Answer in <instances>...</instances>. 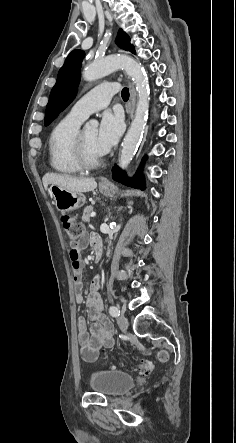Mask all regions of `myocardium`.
<instances>
[{"instance_id":"obj_1","label":"myocardium","mask_w":236,"mask_h":443,"mask_svg":"<svg viewBox=\"0 0 236 443\" xmlns=\"http://www.w3.org/2000/svg\"><path fill=\"white\" fill-rule=\"evenodd\" d=\"M73 154L77 165L81 170H92L102 162V155L90 156L86 150L83 129H79L73 142Z\"/></svg>"}]
</instances>
